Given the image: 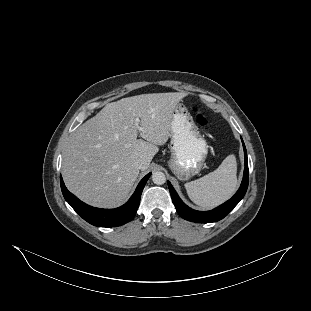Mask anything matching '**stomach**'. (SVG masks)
I'll list each match as a JSON object with an SVG mask.
<instances>
[{
	"label": "stomach",
	"instance_id": "stomach-1",
	"mask_svg": "<svg viewBox=\"0 0 311 311\" xmlns=\"http://www.w3.org/2000/svg\"><path fill=\"white\" fill-rule=\"evenodd\" d=\"M169 149L167 167L180 181H189L200 173L209 146L183 103L178 104L173 114Z\"/></svg>",
	"mask_w": 311,
	"mask_h": 311
}]
</instances>
